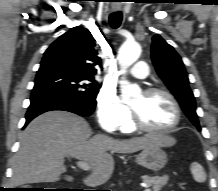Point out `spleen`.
I'll list each match as a JSON object with an SVG mask.
<instances>
[{"label": "spleen", "mask_w": 218, "mask_h": 191, "mask_svg": "<svg viewBox=\"0 0 218 191\" xmlns=\"http://www.w3.org/2000/svg\"><path fill=\"white\" fill-rule=\"evenodd\" d=\"M190 170L196 182L203 183L206 181V174L200 164L193 162Z\"/></svg>", "instance_id": "obj_1"}]
</instances>
